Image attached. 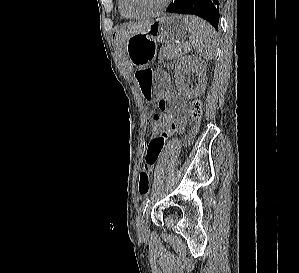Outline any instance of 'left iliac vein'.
<instances>
[{
    "label": "left iliac vein",
    "mask_w": 299,
    "mask_h": 273,
    "mask_svg": "<svg viewBox=\"0 0 299 273\" xmlns=\"http://www.w3.org/2000/svg\"><path fill=\"white\" fill-rule=\"evenodd\" d=\"M145 212L139 213L137 217V230L140 236H145L147 234V229L145 224Z\"/></svg>",
    "instance_id": "4c4485c4"
}]
</instances>
